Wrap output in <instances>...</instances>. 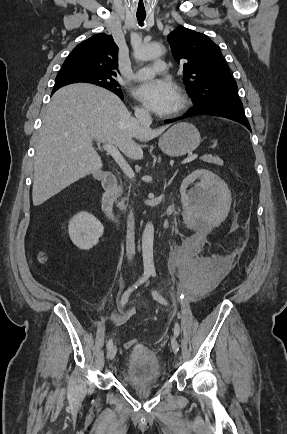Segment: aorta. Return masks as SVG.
I'll use <instances>...</instances> for the list:
<instances>
[{"label": "aorta", "instance_id": "aorta-1", "mask_svg": "<svg viewBox=\"0 0 287 434\" xmlns=\"http://www.w3.org/2000/svg\"><path fill=\"white\" fill-rule=\"evenodd\" d=\"M164 53V48L159 43H152L143 45L134 50V56L139 61H148L160 57ZM153 239H154V226L148 223L142 235V256L145 273H154L153 261Z\"/></svg>", "mask_w": 287, "mask_h": 434}]
</instances>
